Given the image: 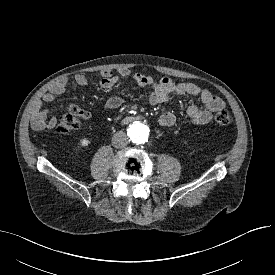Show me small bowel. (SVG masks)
Segmentation results:
<instances>
[{
    "label": "small bowel",
    "mask_w": 275,
    "mask_h": 275,
    "mask_svg": "<svg viewBox=\"0 0 275 275\" xmlns=\"http://www.w3.org/2000/svg\"><path fill=\"white\" fill-rule=\"evenodd\" d=\"M101 77L98 86L101 89H109L114 86L120 78H127L134 80L138 85L143 87H151L152 92L149 95V102L153 105L167 104L170 102L169 96L172 93L181 96L198 97L201 106L190 105L187 108V115L191 123L196 125H205L212 119L213 113L220 111L224 108V101L213 95L207 89H201L196 84L190 82H174L168 77H163L159 80H155L151 76L132 72L127 68H121L114 74L110 70H102L99 72ZM74 80L77 85L85 86L88 82V78L85 74H76ZM67 79L61 78L55 81L49 91L42 97L44 102L50 103L54 100L56 95L62 94L67 88ZM122 99L118 96L113 97L106 103L107 110H114L122 104ZM69 111L78 115L79 117L87 120L91 117V114L77 106L71 104ZM175 115L172 112H165L159 118V123L162 127L169 129L175 123ZM32 128L34 130L52 129L57 124V118L55 116L48 117L47 113L43 110H37L32 118Z\"/></svg>",
    "instance_id": "1"
}]
</instances>
